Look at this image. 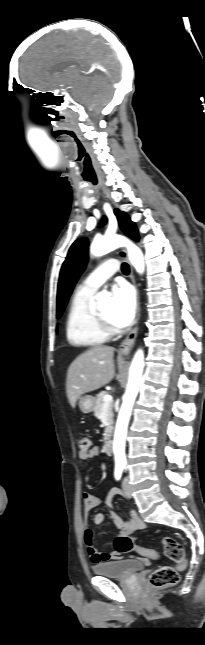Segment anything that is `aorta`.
Segmentation results:
<instances>
[{
    "label": "aorta",
    "mask_w": 205,
    "mask_h": 645,
    "mask_svg": "<svg viewBox=\"0 0 205 645\" xmlns=\"http://www.w3.org/2000/svg\"><path fill=\"white\" fill-rule=\"evenodd\" d=\"M120 246H125L128 250V257L131 264L134 266L136 271L140 274L144 272L145 264L143 253L135 244L130 242L124 237L114 235V236H104L102 238L95 239L91 245L90 252L96 257L103 256ZM109 294L106 291H102L97 295V300L99 302V308L108 301ZM144 368V353L140 349L136 352L133 361L129 370L128 384L126 387L125 394L123 396V402L119 411L114 439H113V453L115 457V462L117 464L124 465L126 463L125 456V443L129 419L132 412V407L135 402L136 396L139 390V383Z\"/></svg>",
    "instance_id": "762f6f07"
}]
</instances>
